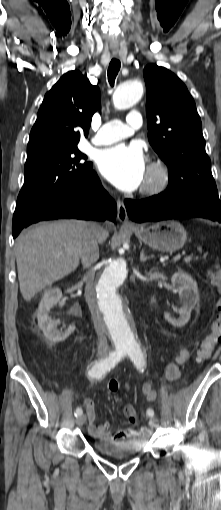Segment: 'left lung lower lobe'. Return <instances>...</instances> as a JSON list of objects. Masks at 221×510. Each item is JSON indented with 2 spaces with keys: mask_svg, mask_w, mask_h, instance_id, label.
I'll return each mask as SVG.
<instances>
[{
  "mask_svg": "<svg viewBox=\"0 0 221 510\" xmlns=\"http://www.w3.org/2000/svg\"><path fill=\"white\" fill-rule=\"evenodd\" d=\"M128 216L136 222L160 221L182 217H202L221 222V202L217 197H165L162 194L143 200H125Z\"/></svg>",
  "mask_w": 221,
  "mask_h": 510,
  "instance_id": "obj_1",
  "label": "left lung lower lobe"
}]
</instances>
